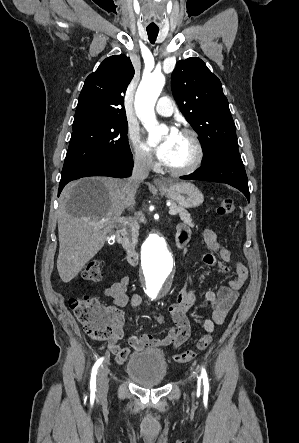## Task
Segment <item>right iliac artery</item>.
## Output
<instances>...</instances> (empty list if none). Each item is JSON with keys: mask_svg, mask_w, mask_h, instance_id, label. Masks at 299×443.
I'll list each match as a JSON object with an SVG mask.
<instances>
[{"mask_svg": "<svg viewBox=\"0 0 299 443\" xmlns=\"http://www.w3.org/2000/svg\"><path fill=\"white\" fill-rule=\"evenodd\" d=\"M104 357L99 358L93 368H92V372H91V379H90V390L92 393H94L96 391V376H97V372L99 369V366L101 365V363L103 362Z\"/></svg>", "mask_w": 299, "mask_h": 443, "instance_id": "right-iliac-artery-1", "label": "right iliac artery"}]
</instances>
